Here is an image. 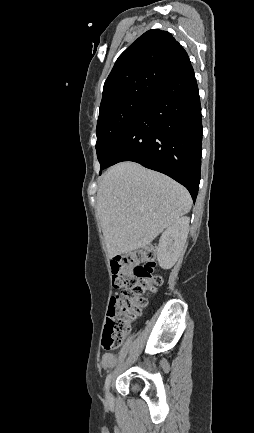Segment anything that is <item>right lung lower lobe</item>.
Listing matches in <instances>:
<instances>
[{
	"mask_svg": "<svg viewBox=\"0 0 254 433\" xmlns=\"http://www.w3.org/2000/svg\"><path fill=\"white\" fill-rule=\"evenodd\" d=\"M201 105L191 65L163 84L114 146L104 169L134 161L184 185L195 202L202 153Z\"/></svg>",
	"mask_w": 254,
	"mask_h": 433,
	"instance_id": "98d812e1",
	"label": "right lung lower lobe"
}]
</instances>
